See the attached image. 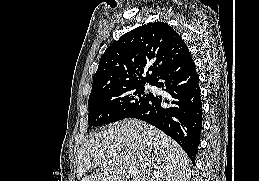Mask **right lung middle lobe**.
<instances>
[{
    "label": "right lung middle lobe",
    "instance_id": "obj_1",
    "mask_svg": "<svg viewBox=\"0 0 259 181\" xmlns=\"http://www.w3.org/2000/svg\"><path fill=\"white\" fill-rule=\"evenodd\" d=\"M144 85L111 89L89 97L88 129L128 118L142 109L152 96L144 92Z\"/></svg>",
    "mask_w": 259,
    "mask_h": 181
}]
</instances>
